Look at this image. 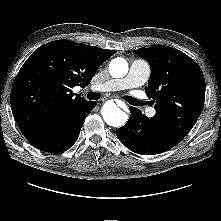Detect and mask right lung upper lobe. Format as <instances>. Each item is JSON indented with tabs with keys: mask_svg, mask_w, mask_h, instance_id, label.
I'll list each match as a JSON object with an SVG mask.
<instances>
[{
	"mask_svg": "<svg viewBox=\"0 0 221 221\" xmlns=\"http://www.w3.org/2000/svg\"><path fill=\"white\" fill-rule=\"evenodd\" d=\"M116 51L57 40L39 47L23 64L11 90L13 116L26 139L74 114L88 101L74 97Z\"/></svg>",
	"mask_w": 221,
	"mask_h": 221,
	"instance_id": "1",
	"label": "right lung upper lobe"
}]
</instances>
